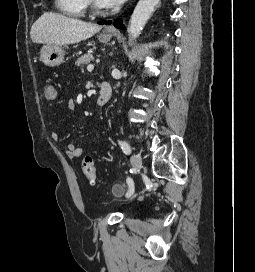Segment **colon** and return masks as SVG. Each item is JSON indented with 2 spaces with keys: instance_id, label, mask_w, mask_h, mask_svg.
<instances>
[{
  "instance_id": "colon-1",
  "label": "colon",
  "mask_w": 255,
  "mask_h": 272,
  "mask_svg": "<svg viewBox=\"0 0 255 272\" xmlns=\"http://www.w3.org/2000/svg\"><path fill=\"white\" fill-rule=\"evenodd\" d=\"M44 97L47 101H55L58 97V93L54 85L46 83L43 88ZM82 171L84 176L89 181H94L96 176L95 166L92 157L86 156L82 162ZM115 192H121V187L118 186Z\"/></svg>"
}]
</instances>
